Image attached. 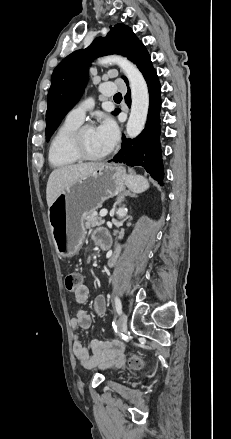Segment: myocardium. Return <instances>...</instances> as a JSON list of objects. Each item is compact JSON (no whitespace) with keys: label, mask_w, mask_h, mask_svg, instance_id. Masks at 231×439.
<instances>
[{"label":"myocardium","mask_w":231,"mask_h":439,"mask_svg":"<svg viewBox=\"0 0 231 439\" xmlns=\"http://www.w3.org/2000/svg\"><path fill=\"white\" fill-rule=\"evenodd\" d=\"M93 128L89 124L80 125L70 136L69 147L71 152L79 159L85 161H97L106 158L110 151L101 155H92L88 153L83 145L82 137L85 130Z\"/></svg>","instance_id":"f54148a6"}]
</instances>
